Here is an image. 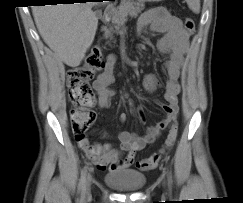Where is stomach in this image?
Wrapping results in <instances>:
<instances>
[{
    "label": "stomach",
    "instance_id": "1",
    "mask_svg": "<svg viewBox=\"0 0 243 203\" xmlns=\"http://www.w3.org/2000/svg\"><path fill=\"white\" fill-rule=\"evenodd\" d=\"M142 1H144V2H160L162 0H142Z\"/></svg>",
    "mask_w": 243,
    "mask_h": 203
}]
</instances>
